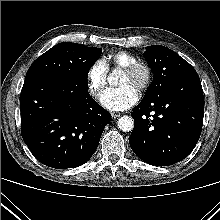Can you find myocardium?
<instances>
[{"instance_id":"f54148a6","label":"myocardium","mask_w":220,"mask_h":220,"mask_svg":"<svg viewBox=\"0 0 220 220\" xmlns=\"http://www.w3.org/2000/svg\"><path fill=\"white\" fill-rule=\"evenodd\" d=\"M124 72L135 77H139L137 90L139 92L146 91L153 79V73L151 67L145 62H134L124 68Z\"/></svg>"}]
</instances>
